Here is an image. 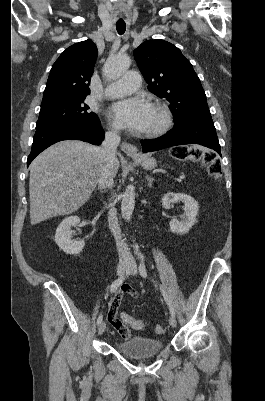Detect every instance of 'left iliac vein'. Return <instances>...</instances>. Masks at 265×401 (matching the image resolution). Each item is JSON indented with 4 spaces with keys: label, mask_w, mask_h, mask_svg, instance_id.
I'll list each match as a JSON object with an SVG mask.
<instances>
[{
    "label": "left iliac vein",
    "mask_w": 265,
    "mask_h": 401,
    "mask_svg": "<svg viewBox=\"0 0 265 401\" xmlns=\"http://www.w3.org/2000/svg\"><path fill=\"white\" fill-rule=\"evenodd\" d=\"M128 272H130V273H132L133 275H136L137 274V264H136V262H131L130 263V267H129V269H128ZM169 324L171 325V327H176V325H177V320H176V318H175V316H173V315H171L170 316V318H169Z\"/></svg>",
    "instance_id": "1"
}]
</instances>
